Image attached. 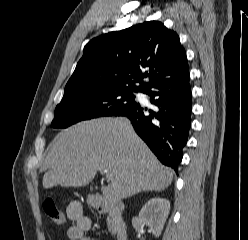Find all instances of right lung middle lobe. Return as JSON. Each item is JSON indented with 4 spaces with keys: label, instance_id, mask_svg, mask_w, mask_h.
<instances>
[{
    "label": "right lung middle lobe",
    "instance_id": "obj_1",
    "mask_svg": "<svg viewBox=\"0 0 248 240\" xmlns=\"http://www.w3.org/2000/svg\"><path fill=\"white\" fill-rule=\"evenodd\" d=\"M130 89L81 88L66 89L56 106L52 121L54 128H66L77 122L112 116L136 105Z\"/></svg>",
    "mask_w": 248,
    "mask_h": 240
}]
</instances>
